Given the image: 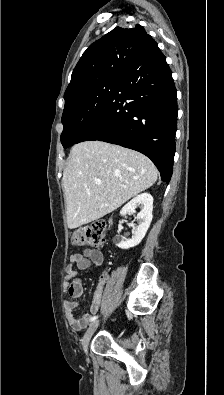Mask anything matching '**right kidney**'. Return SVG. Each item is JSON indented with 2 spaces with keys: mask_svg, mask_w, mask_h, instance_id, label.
Here are the masks:
<instances>
[{
  "mask_svg": "<svg viewBox=\"0 0 224 395\" xmlns=\"http://www.w3.org/2000/svg\"><path fill=\"white\" fill-rule=\"evenodd\" d=\"M140 206L141 211L137 215L139 219V225L134 227L133 236L129 240H124L120 235H116L113 239L116 246L121 249H129L137 246L150 226L152 221V210H153V197L149 193H142L133 198L128 204H126L120 211L121 216H126L128 213H135V209Z\"/></svg>",
  "mask_w": 224,
  "mask_h": 395,
  "instance_id": "ca27d5eb",
  "label": "right kidney"
}]
</instances>
